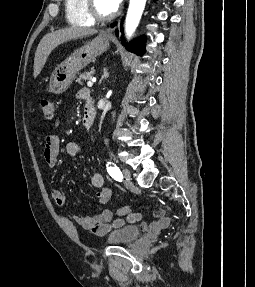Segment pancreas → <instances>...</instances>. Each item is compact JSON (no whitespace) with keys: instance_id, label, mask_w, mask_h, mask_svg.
<instances>
[{"instance_id":"1","label":"pancreas","mask_w":255,"mask_h":287,"mask_svg":"<svg viewBox=\"0 0 255 287\" xmlns=\"http://www.w3.org/2000/svg\"><path fill=\"white\" fill-rule=\"evenodd\" d=\"M94 74L95 70L94 68H91L90 72H83V74H79V78H77L76 82H78V84H82L83 86L86 80H92Z\"/></svg>"}]
</instances>
